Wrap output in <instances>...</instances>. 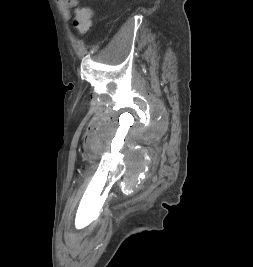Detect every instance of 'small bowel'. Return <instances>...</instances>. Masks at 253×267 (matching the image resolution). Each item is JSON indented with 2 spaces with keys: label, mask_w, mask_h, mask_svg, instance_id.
Segmentation results:
<instances>
[{
  "label": "small bowel",
  "mask_w": 253,
  "mask_h": 267,
  "mask_svg": "<svg viewBox=\"0 0 253 267\" xmlns=\"http://www.w3.org/2000/svg\"><path fill=\"white\" fill-rule=\"evenodd\" d=\"M58 7L66 19H69L71 12L78 6L79 0H56Z\"/></svg>",
  "instance_id": "small-bowel-1"
}]
</instances>
